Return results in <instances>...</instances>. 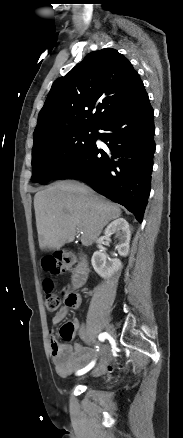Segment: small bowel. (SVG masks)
Returning a JSON list of instances; mask_svg holds the SVG:
<instances>
[{"label": "small bowel", "mask_w": 183, "mask_h": 438, "mask_svg": "<svg viewBox=\"0 0 183 438\" xmlns=\"http://www.w3.org/2000/svg\"><path fill=\"white\" fill-rule=\"evenodd\" d=\"M80 303L81 300L79 297L74 304L66 303V306L62 307L53 317V324L56 325L63 321L67 316L68 309H77L80 306ZM71 323L73 324L75 331L79 333L80 337L86 339L87 334L81 323L77 319H74ZM50 351L53 365L60 377L71 375L96 355V351L92 348H85L78 343L70 345L68 343L60 342L53 333L50 335ZM107 370L108 366L102 364L95 370V374H103Z\"/></svg>", "instance_id": "1"}]
</instances>
